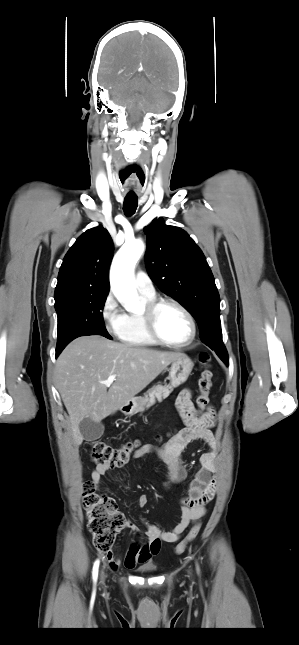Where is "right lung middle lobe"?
<instances>
[{
    "instance_id": "right-lung-middle-lobe-1",
    "label": "right lung middle lobe",
    "mask_w": 299,
    "mask_h": 645,
    "mask_svg": "<svg viewBox=\"0 0 299 645\" xmlns=\"http://www.w3.org/2000/svg\"><path fill=\"white\" fill-rule=\"evenodd\" d=\"M108 294L75 295L55 304L58 315L56 351L63 350L73 339L83 335H102L108 339L102 310Z\"/></svg>"
}]
</instances>
